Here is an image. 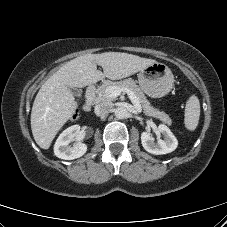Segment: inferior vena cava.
<instances>
[{
  "mask_svg": "<svg viewBox=\"0 0 227 227\" xmlns=\"http://www.w3.org/2000/svg\"><path fill=\"white\" fill-rule=\"evenodd\" d=\"M113 104L110 101H101L100 103H98L95 106V114L97 116H105L109 113V111L111 110Z\"/></svg>",
  "mask_w": 227,
  "mask_h": 227,
  "instance_id": "1",
  "label": "inferior vena cava"
}]
</instances>
